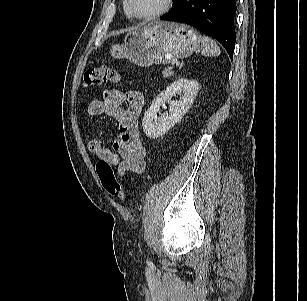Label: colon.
Masks as SVG:
<instances>
[{"mask_svg":"<svg viewBox=\"0 0 307 301\" xmlns=\"http://www.w3.org/2000/svg\"><path fill=\"white\" fill-rule=\"evenodd\" d=\"M120 80V74L107 65L90 66L83 78V85L87 88L96 87L103 83H116ZM96 171L100 182L106 192L121 200H125V194L121 183L116 178L112 165L106 160L98 161Z\"/></svg>","mask_w":307,"mask_h":301,"instance_id":"1","label":"colon"}]
</instances>
